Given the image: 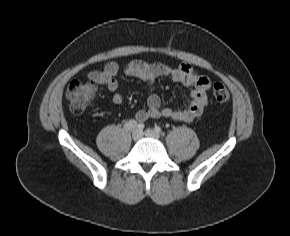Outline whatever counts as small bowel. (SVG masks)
<instances>
[{"instance_id":"small-bowel-1","label":"small bowel","mask_w":290,"mask_h":236,"mask_svg":"<svg viewBox=\"0 0 290 236\" xmlns=\"http://www.w3.org/2000/svg\"><path fill=\"white\" fill-rule=\"evenodd\" d=\"M119 70V65L116 62H109L102 69L92 70L87 75L90 82L107 87L112 93V101L116 105L123 102L117 80ZM125 73L142 80L151 90L147 99V108L139 110L135 115L138 122L164 117L177 122L190 123L202 115L208 104L210 81L188 64L172 67L162 63L133 60L126 65ZM160 77H168L178 84L191 88L192 100L190 105L184 109L162 107L161 99L154 91L155 80Z\"/></svg>"}]
</instances>
